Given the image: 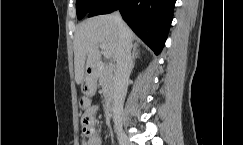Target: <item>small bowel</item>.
Wrapping results in <instances>:
<instances>
[{
	"mask_svg": "<svg viewBox=\"0 0 243 145\" xmlns=\"http://www.w3.org/2000/svg\"><path fill=\"white\" fill-rule=\"evenodd\" d=\"M96 108H91L90 110L87 111L85 116H88L93 124V114L95 113ZM102 140H101V136L99 134L98 131H96L95 129L93 130V133L88 136V137H84L81 140V145H101Z\"/></svg>",
	"mask_w": 243,
	"mask_h": 145,
	"instance_id": "1",
	"label": "small bowel"
}]
</instances>
